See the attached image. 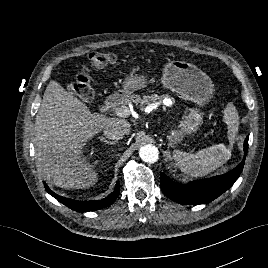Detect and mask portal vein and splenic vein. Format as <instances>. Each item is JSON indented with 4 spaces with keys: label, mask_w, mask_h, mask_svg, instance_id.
Here are the masks:
<instances>
[{
    "label": "portal vein and splenic vein",
    "mask_w": 268,
    "mask_h": 268,
    "mask_svg": "<svg viewBox=\"0 0 268 268\" xmlns=\"http://www.w3.org/2000/svg\"><path fill=\"white\" fill-rule=\"evenodd\" d=\"M131 110L126 106H121L115 109V114L119 117H128Z\"/></svg>",
    "instance_id": "portal-vein-and-splenic-vein-1"
}]
</instances>
